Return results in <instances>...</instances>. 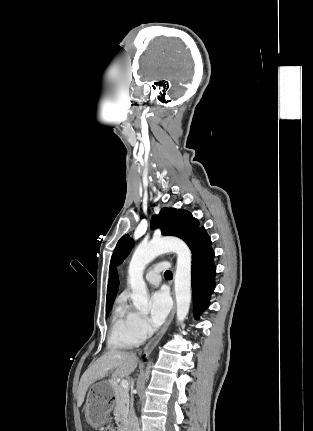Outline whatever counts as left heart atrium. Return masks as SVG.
Segmentation results:
<instances>
[{"label":"left heart atrium","instance_id":"1","mask_svg":"<svg viewBox=\"0 0 313 431\" xmlns=\"http://www.w3.org/2000/svg\"><path fill=\"white\" fill-rule=\"evenodd\" d=\"M171 302L164 290L154 292L150 297V322L153 326L163 323L170 310Z\"/></svg>","mask_w":313,"mask_h":431}]
</instances>
